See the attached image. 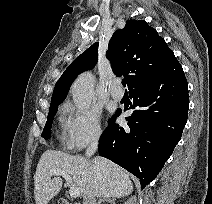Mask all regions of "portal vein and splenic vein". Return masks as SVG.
Segmentation results:
<instances>
[{
  "label": "portal vein and splenic vein",
  "instance_id": "obj_1",
  "mask_svg": "<svg viewBox=\"0 0 212 204\" xmlns=\"http://www.w3.org/2000/svg\"><path fill=\"white\" fill-rule=\"evenodd\" d=\"M50 175H54V176L55 175H60L66 180L67 183L72 184L71 177L65 171H63L61 169H52V170H50ZM69 195L71 197H73V198L79 197L80 191H79V189L77 187L72 186L69 189Z\"/></svg>",
  "mask_w": 212,
  "mask_h": 204
}]
</instances>
